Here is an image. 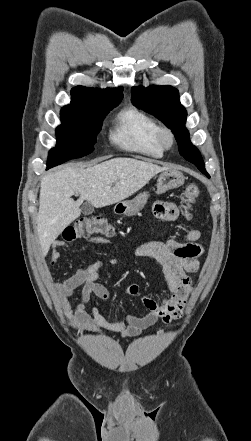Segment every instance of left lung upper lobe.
I'll return each instance as SVG.
<instances>
[{
    "label": "left lung upper lobe",
    "instance_id": "left-lung-upper-lobe-1",
    "mask_svg": "<svg viewBox=\"0 0 251 441\" xmlns=\"http://www.w3.org/2000/svg\"><path fill=\"white\" fill-rule=\"evenodd\" d=\"M132 103L156 116L169 127L177 140L179 153L187 161L209 177L198 149L192 145L189 132L185 128L187 112L180 104L178 90L172 86L133 87L131 89Z\"/></svg>",
    "mask_w": 251,
    "mask_h": 441
}]
</instances>
